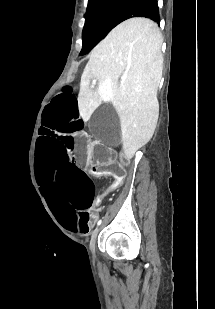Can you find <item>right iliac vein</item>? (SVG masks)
Segmentation results:
<instances>
[{"label": "right iliac vein", "instance_id": "1", "mask_svg": "<svg viewBox=\"0 0 215 309\" xmlns=\"http://www.w3.org/2000/svg\"><path fill=\"white\" fill-rule=\"evenodd\" d=\"M100 228H101V226L98 227L97 229H95V230L93 231V233H92L91 241H90V245H89V246H90V250H91L92 252L95 251L96 238H97V234H98Z\"/></svg>", "mask_w": 215, "mask_h": 309}]
</instances>
